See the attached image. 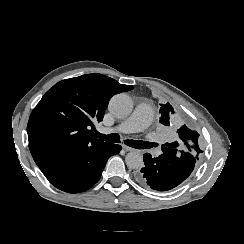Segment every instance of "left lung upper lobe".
Returning a JSON list of instances; mask_svg holds the SVG:
<instances>
[{"mask_svg": "<svg viewBox=\"0 0 244 244\" xmlns=\"http://www.w3.org/2000/svg\"><path fill=\"white\" fill-rule=\"evenodd\" d=\"M174 113V109L169 104V102H167L166 104H161L160 123L165 126H169L170 121L172 120V115ZM177 133L179 135V139L177 141L172 143H165L164 145H162V147L182 150L193 154L195 157H198L199 154L202 153L198 143L199 134L195 130L190 129L186 125H183L177 130Z\"/></svg>", "mask_w": 244, "mask_h": 244, "instance_id": "obj_1", "label": "left lung upper lobe"}]
</instances>
